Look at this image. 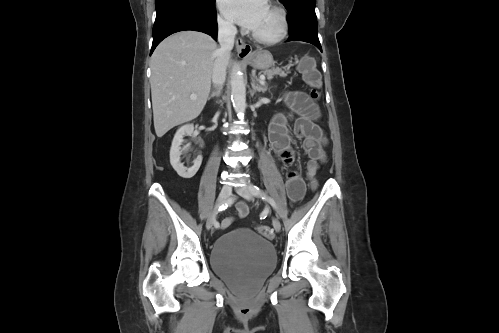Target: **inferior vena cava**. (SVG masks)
<instances>
[{"label": "inferior vena cava", "instance_id": "602c4592", "mask_svg": "<svg viewBox=\"0 0 499 333\" xmlns=\"http://www.w3.org/2000/svg\"><path fill=\"white\" fill-rule=\"evenodd\" d=\"M236 27L226 21L218 22V41L220 48L217 50L213 66L212 82L215 87H221L226 80V68L230 58V52L234 46Z\"/></svg>", "mask_w": 499, "mask_h": 333}]
</instances>
